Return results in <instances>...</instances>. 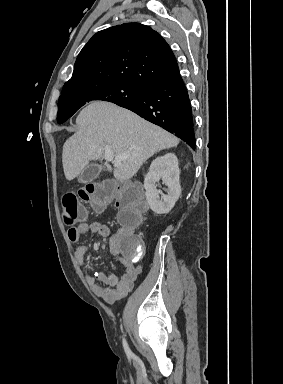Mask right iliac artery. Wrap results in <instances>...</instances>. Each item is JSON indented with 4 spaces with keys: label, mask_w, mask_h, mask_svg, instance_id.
Segmentation results:
<instances>
[{
    "label": "right iliac artery",
    "mask_w": 283,
    "mask_h": 384,
    "mask_svg": "<svg viewBox=\"0 0 283 384\" xmlns=\"http://www.w3.org/2000/svg\"><path fill=\"white\" fill-rule=\"evenodd\" d=\"M123 347H124V350H125L127 356H131L132 352H131V350H130V348H129L125 338L123 339Z\"/></svg>",
    "instance_id": "right-iliac-artery-1"
}]
</instances>
